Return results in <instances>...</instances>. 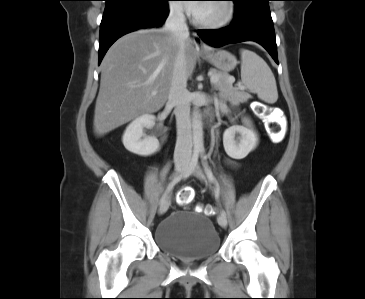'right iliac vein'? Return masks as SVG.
I'll list each match as a JSON object with an SVG mask.
<instances>
[{"mask_svg": "<svg viewBox=\"0 0 365 299\" xmlns=\"http://www.w3.org/2000/svg\"><path fill=\"white\" fill-rule=\"evenodd\" d=\"M187 169V161L184 158H179L176 162H175V172L176 175H180L182 173H184ZM170 206V199L167 198L163 203H161L160 208H159V214H164L168 208Z\"/></svg>", "mask_w": 365, "mask_h": 299, "instance_id": "obj_1", "label": "right iliac vein"}]
</instances>
